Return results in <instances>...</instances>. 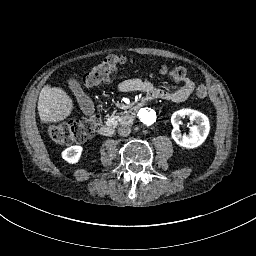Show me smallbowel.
Segmentation results:
<instances>
[{
	"label": "small bowel",
	"instance_id": "obj_1",
	"mask_svg": "<svg viewBox=\"0 0 256 256\" xmlns=\"http://www.w3.org/2000/svg\"><path fill=\"white\" fill-rule=\"evenodd\" d=\"M178 82L180 83V86L177 89L168 91L158 88L148 81L129 78L119 82L117 88L124 92H142L146 95L148 100L161 99L172 102H182L190 97V95L193 93L195 84L191 79L186 77Z\"/></svg>",
	"mask_w": 256,
	"mask_h": 256
}]
</instances>
